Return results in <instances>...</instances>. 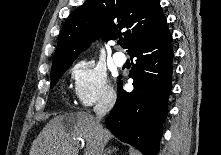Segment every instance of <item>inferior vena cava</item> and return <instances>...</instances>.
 Returning a JSON list of instances; mask_svg holds the SVG:
<instances>
[{"label":"inferior vena cava","mask_w":221,"mask_h":155,"mask_svg":"<svg viewBox=\"0 0 221 155\" xmlns=\"http://www.w3.org/2000/svg\"><path fill=\"white\" fill-rule=\"evenodd\" d=\"M116 101V95L114 93H109L100 99L97 105L94 107V112L97 117V121L100 123V120L112 109ZM104 144L100 145V154H103Z\"/></svg>","instance_id":"1"}]
</instances>
